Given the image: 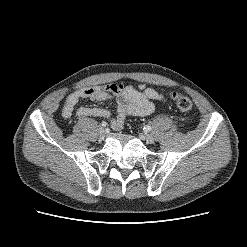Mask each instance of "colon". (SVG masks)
<instances>
[{
    "label": "colon",
    "mask_w": 247,
    "mask_h": 247,
    "mask_svg": "<svg viewBox=\"0 0 247 247\" xmlns=\"http://www.w3.org/2000/svg\"><path fill=\"white\" fill-rule=\"evenodd\" d=\"M170 98L181 112L190 113L193 110V104L188 97L172 92Z\"/></svg>",
    "instance_id": "1"
}]
</instances>
